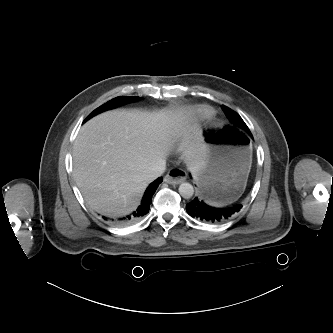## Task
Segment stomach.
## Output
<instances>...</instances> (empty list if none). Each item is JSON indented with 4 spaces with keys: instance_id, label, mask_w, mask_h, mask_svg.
<instances>
[{
    "instance_id": "0dacf381",
    "label": "stomach",
    "mask_w": 333,
    "mask_h": 333,
    "mask_svg": "<svg viewBox=\"0 0 333 333\" xmlns=\"http://www.w3.org/2000/svg\"><path fill=\"white\" fill-rule=\"evenodd\" d=\"M204 164L195 181L208 201L224 205L240 197L252 163L249 140L228 127L205 132Z\"/></svg>"
}]
</instances>
